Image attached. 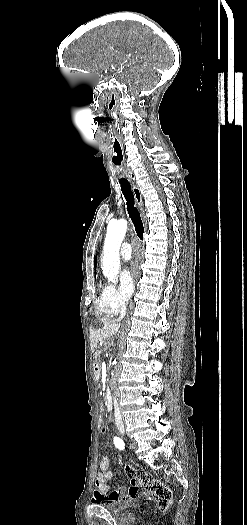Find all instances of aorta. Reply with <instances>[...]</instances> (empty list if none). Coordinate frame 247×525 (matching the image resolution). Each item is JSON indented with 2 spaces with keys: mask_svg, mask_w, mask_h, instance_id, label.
<instances>
[{
  "mask_svg": "<svg viewBox=\"0 0 247 525\" xmlns=\"http://www.w3.org/2000/svg\"><path fill=\"white\" fill-rule=\"evenodd\" d=\"M127 230V221L119 219L110 222L107 228L102 255V271L104 276L113 281L120 269L119 250Z\"/></svg>",
  "mask_w": 247,
  "mask_h": 525,
  "instance_id": "762f6f07",
  "label": "aorta"
}]
</instances>
